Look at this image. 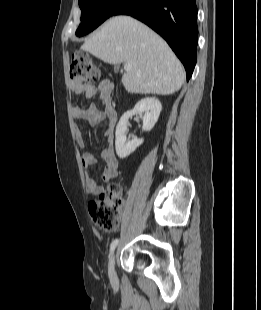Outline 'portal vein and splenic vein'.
I'll list each match as a JSON object with an SVG mask.
<instances>
[{
    "mask_svg": "<svg viewBox=\"0 0 261 310\" xmlns=\"http://www.w3.org/2000/svg\"><path fill=\"white\" fill-rule=\"evenodd\" d=\"M131 69V65L130 64H125L124 65V70L125 71H128V70H130Z\"/></svg>",
    "mask_w": 261,
    "mask_h": 310,
    "instance_id": "obj_1",
    "label": "portal vein and splenic vein"
}]
</instances>
